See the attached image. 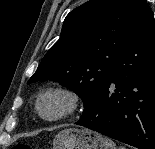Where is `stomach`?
Returning a JSON list of instances; mask_svg holds the SVG:
<instances>
[{"label": "stomach", "instance_id": "stomach-1", "mask_svg": "<svg viewBox=\"0 0 155 149\" xmlns=\"http://www.w3.org/2000/svg\"><path fill=\"white\" fill-rule=\"evenodd\" d=\"M53 149H117L115 143L89 129L66 128L57 133Z\"/></svg>", "mask_w": 155, "mask_h": 149}]
</instances>
